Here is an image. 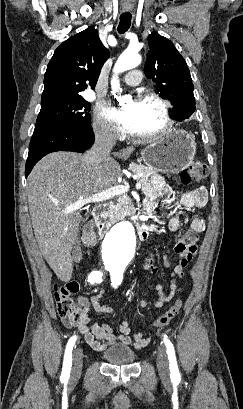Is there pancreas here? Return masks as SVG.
I'll return each mask as SVG.
<instances>
[{"mask_svg": "<svg viewBox=\"0 0 243 409\" xmlns=\"http://www.w3.org/2000/svg\"><path fill=\"white\" fill-rule=\"evenodd\" d=\"M128 169L135 174H141L140 182L143 185L148 183V178L155 172L150 167L135 163L130 164ZM133 213L134 208L131 199L127 195H120L115 204L109 205L105 211V216L108 218L107 222L112 224Z\"/></svg>", "mask_w": 243, "mask_h": 409, "instance_id": "pancreas-1", "label": "pancreas"}]
</instances>
